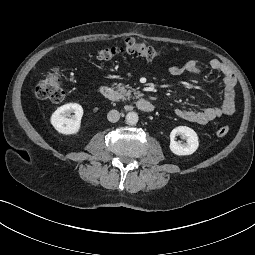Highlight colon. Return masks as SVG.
Here are the masks:
<instances>
[{
    "mask_svg": "<svg viewBox=\"0 0 255 255\" xmlns=\"http://www.w3.org/2000/svg\"><path fill=\"white\" fill-rule=\"evenodd\" d=\"M120 52L136 53L147 59L159 56V51L151 45L140 43L133 38H128L120 48H105L97 52L99 59H109ZM35 95L39 99L49 100L54 103L63 101L65 93L62 88L61 73L58 68L47 72L35 87ZM229 132L228 126H221L217 130L219 136H225Z\"/></svg>",
    "mask_w": 255,
    "mask_h": 255,
    "instance_id": "colon-1",
    "label": "colon"
}]
</instances>
